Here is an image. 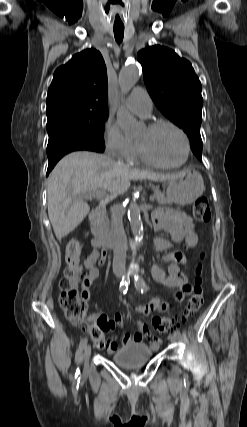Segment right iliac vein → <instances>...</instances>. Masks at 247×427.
Returning <instances> with one entry per match:
<instances>
[{
  "mask_svg": "<svg viewBox=\"0 0 247 427\" xmlns=\"http://www.w3.org/2000/svg\"><path fill=\"white\" fill-rule=\"evenodd\" d=\"M90 353H91V346L89 344H87V345H85V348H84L85 369H88V366H89Z\"/></svg>",
  "mask_w": 247,
  "mask_h": 427,
  "instance_id": "1",
  "label": "right iliac vein"
}]
</instances>
